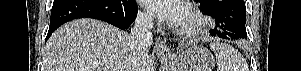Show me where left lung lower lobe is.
Here are the masks:
<instances>
[{
  "mask_svg": "<svg viewBox=\"0 0 301 71\" xmlns=\"http://www.w3.org/2000/svg\"><path fill=\"white\" fill-rule=\"evenodd\" d=\"M203 12L216 21V27L209 31L211 36L234 40L247 37L243 0H214Z\"/></svg>",
  "mask_w": 301,
  "mask_h": 71,
  "instance_id": "1",
  "label": "left lung lower lobe"
}]
</instances>
